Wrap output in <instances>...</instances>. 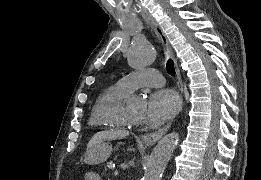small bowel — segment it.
<instances>
[{"instance_id": "small-bowel-1", "label": "small bowel", "mask_w": 261, "mask_h": 180, "mask_svg": "<svg viewBox=\"0 0 261 180\" xmlns=\"http://www.w3.org/2000/svg\"><path fill=\"white\" fill-rule=\"evenodd\" d=\"M85 179L86 180H98L99 176L97 173H95L94 171H89L85 174Z\"/></svg>"}]
</instances>
